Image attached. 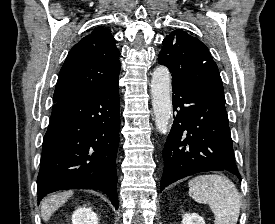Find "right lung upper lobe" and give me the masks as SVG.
I'll return each mask as SVG.
<instances>
[{
    "mask_svg": "<svg viewBox=\"0 0 275 224\" xmlns=\"http://www.w3.org/2000/svg\"><path fill=\"white\" fill-rule=\"evenodd\" d=\"M119 56L110 30L94 29L70 50L59 73L53 102L84 97L118 84Z\"/></svg>",
    "mask_w": 275,
    "mask_h": 224,
    "instance_id": "obj_1",
    "label": "right lung upper lobe"
}]
</instances>
